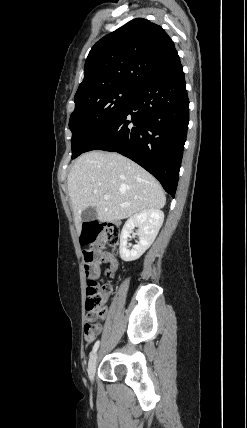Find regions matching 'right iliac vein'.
Listing matches in <instances>:
<instances>
[{
  "mask_svg": "<svg viewBox=\"0 0 247 428\" xmlns=\"http://www.w3.org/2000/svg\"><path fill=\"white\" fill-rule=\"evenodd\" d=\"M97 359H98V355L97 353H94L88 363V376L89 379L91 380V382L94 381V376H95V371H96V366H97Z\"/></svg>",
  "mask_w": 247,
  "mask_h": 428,
  "instance_id": "obj_1",
  "label": "right iliac vein"
}]
</instances>
